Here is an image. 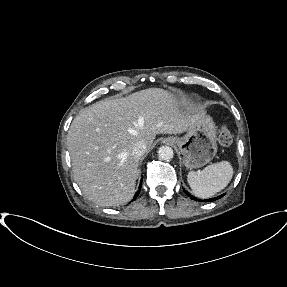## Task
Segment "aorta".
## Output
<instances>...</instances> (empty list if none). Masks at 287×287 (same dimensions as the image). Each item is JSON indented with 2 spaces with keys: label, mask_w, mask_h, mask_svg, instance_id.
<instances>
[{
  "label": "aorta",
  "mask_w": 287,
  "mask_h": 287,
  "mask_svg": "<svg viewBox=\"0 0 287 287\" xmlns=\"http://www.w3.org/2000/svg\"><path fill=\"white\" fill-rule=\"evenodd\" d=\"M173 156V149L169 146H161L158 150V157L160 160L169 161Z\"/></svg>",
  "instance_id": "1"
}]
</instances>
